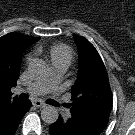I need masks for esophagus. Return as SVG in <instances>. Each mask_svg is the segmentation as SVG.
<instances>
[{
	"instance_id": "obj_1",
	"label": "esophagus",
	"mask_w": 135,
	"mask_h": 135,
	"mask_svg": "<svg viewBox=\"0 0 135 135\" xmlns=\"http://www.w3.org/2000/svg\"><path fill=\"white\" fill-rule=\"evenodd\" d=\"M35 107L44 108L46 107V104L41 100H34L32 103Z\"/></svg>"
}]
</instances>
